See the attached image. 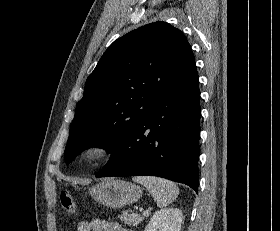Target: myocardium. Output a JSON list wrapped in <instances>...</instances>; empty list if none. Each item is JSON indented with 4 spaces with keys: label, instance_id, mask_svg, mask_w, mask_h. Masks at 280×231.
<instances>
[{
    "label": "myocardium",
    "instance_id": "1",
    "mask_svg": "<svg viewBox=\"0 0 280 231\" xmlns=\"http://www.w3.org/2000/svg\"><path fill=\"white\" fill-rule=\"evenodd\" d=\"M94 148L100 149L99 157L92 163H85L83 158L85 154ZM118 151L117 142L110 137H98L94 138L87 143H85L79 153H78V161L79 164L88 170L96 169L103 164H105L108 160H110Z\"/></svg>",
    "mask_w": 280,
    "mask_h": 231
}]
</instances>
